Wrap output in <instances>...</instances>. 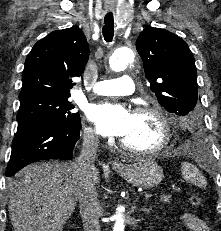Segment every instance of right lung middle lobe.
<instances>
[{
    "label": "right lung middle lobe",
    "mask_w": 221,
    "mask_h": 231,
    "mask_svg": "<svg viewBox=\"0 0 221 231\" xmlns=\"http://www.w3.org/2000/svg\"><path fill=\"white\" fill-rule=\"evenodd\" d=\"M69 97L70 95H37L20 99L18 126L38 118H51L70 124L81 122L79 113L71 111L74 105L68 100Z\"/></svg>",
    "instance_id": "1"
}]
</instances>
